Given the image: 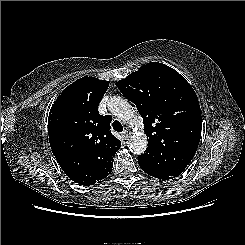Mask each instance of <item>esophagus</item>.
<instances>
[{"mask_svg": "<svg viewBox=\"0 0 245 245\" xmlns=\"http://www.w3.org/2000/svg\"><path fill=\"white\" fill-rule=\"evenodd\" d=\"M122 135L125 139H127L131 135V130L129 128H125V130L122 132Z\"/></svg>", "mask_w": 245, "mask_h": 245, "instance_id": "34e87169", "label": "esophagus"}]
</instances>
